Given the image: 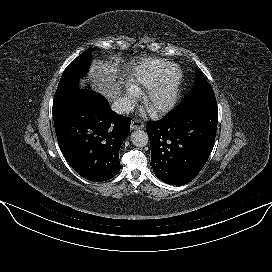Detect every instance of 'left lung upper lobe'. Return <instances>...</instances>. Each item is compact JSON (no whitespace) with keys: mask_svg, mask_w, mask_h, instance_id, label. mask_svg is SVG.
Instances as JSON below:
<instances>
[{"mask_svg":"<svg viewBox=\"0 0 272 272\" xmlns=\"http://www.w3.org/2000/svg\"><path fill=\"white\" fill-rule=\"evenodd\" d=\"M215 98V94L204 75L196 68L195 83L191 91L183 98L181 104Z\"/></svg>","mask_w":272,"mask_h":272,"instance_id":"left-lung-upper-lobe-1","label":"left lung upper lobe"}]
</instances>
